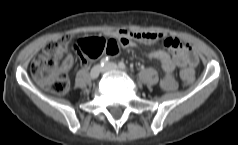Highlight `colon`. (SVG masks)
<instances>
[{
	"label": "colon",
	"mask_w": 238,
	"mask_h": 145,
	"mask_svg": "<svg viewBox=\"0 0 238 145\" xmlns=\"http://www.w3.org/2000/svg\"><path fill=\"white\" fill-rule=\"evenodd\" d=\"M67 44V37L48 42L30 64V72L34 78L44 88L56 94H64L69 88L68 76L58 68ZM75 49L82 60H87L98 58L102 54L116 55L120 45L114 38L89 37L78 40ZM180 75L186 83H190L194 78L190 69L182 71Z\"/></svg>",
	"instance_id": "1"
}]
</instances>
